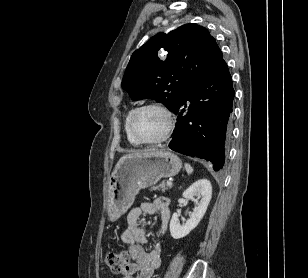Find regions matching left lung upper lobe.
Instances as JSON below:
<instances>
[{"mask_svg":"<svg viewBox=\"0 0 308 278\" xmlns=\"http://www.w3.org/2000/svg\"><path fill=\"white\" fill-rule=\"evenodd\" d=\"M222 56L206 28L185 24L168 34H156L136 50L122 87L133 100L155 99L174 111L190 87Z\"/></svg>","mask_w":308,"mask_h":278,"instance_id":"left-lung-upper-lobe-1","label":"left lung upper lobe"}]
</instances>
